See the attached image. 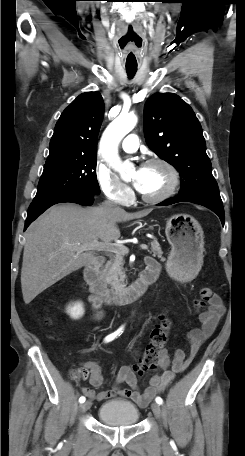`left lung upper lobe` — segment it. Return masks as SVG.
I'll return each mask as SVG.
<instances>
[{"label": "left lung upper lobe", "mask_w": 245, "mask_h": 456, "mask_svg": "<svg viewBox=\"0 0 245 456\" xmlns=\"http://www.w3.org/2000/svg\"><path fill=\"white\" fill-rule=\"evenodd\" d=\"M149 148L180 173L182 199L222 206L201 125L191 107L173 93L152 95L144 106Z\"/></svg>", "instance_id": "5c2ea615"}]
</instances>
